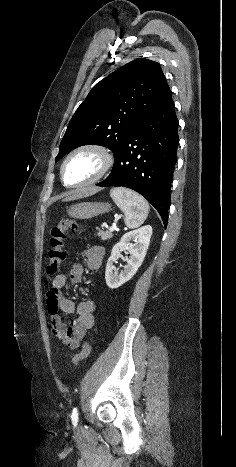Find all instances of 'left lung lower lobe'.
Masks as SVG:
<instances>
[{"label":"left lung lower lobe","instance_id":"1","mask_svg":"<svg viewBox=\"0 0 236 467\" xmlns=\"http://www.w3.org/2000/svg\"><path fill=\"white\" fill-rule=\"evenodd\" d=\"M178 144V119L169 90L129 132L111 174L96 185L135 190L157 209L166 227Z\"/></svg>","mask_w":236,"mask_h":467}]
</instances>
